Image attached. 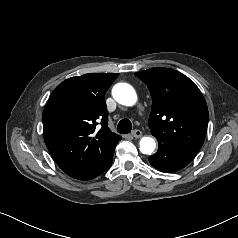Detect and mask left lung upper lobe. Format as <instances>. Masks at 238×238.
I'll use <instances>...</instances> for the list:
<instances>
[{
  "label": "left lung upper lobe",
  "instance_id": "obj_1",
  "mask_svg": "<svg viewBox=\"0 0 238 238\" xmlns=\"http://www.w3.org/2000/svg\"><path fill=\"white\" fill-rule=\"evenodd\" d=\"M135 76L151 93L149 127L158 143L198 152L207 132L208 108L196 84L168 68H151Z\"/></svg>",
  "mask_w": 238,
  "mask_h": 238
}]
</instances>
